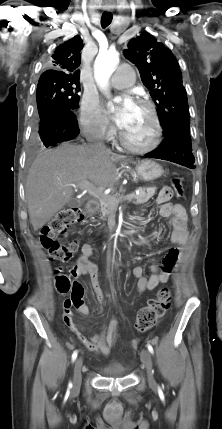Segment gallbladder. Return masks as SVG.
Instances as JSON below:
<instances>
[{"label":"gallbladder","mask_w":222,"mask_h":429,"mask_svg":"<svg viewBox=\"0 0 222 429\" xmlns=\"http://www.w3.org/2000/svg\"><path fill=\"white\" fill-rule=\"evenodd\" d=\"M67 205H68L69 207H76V206H80V205H81V200L76 199V198H72V199L67 203Z\"/></svg>","instance_id":"1"}]
</instances>
